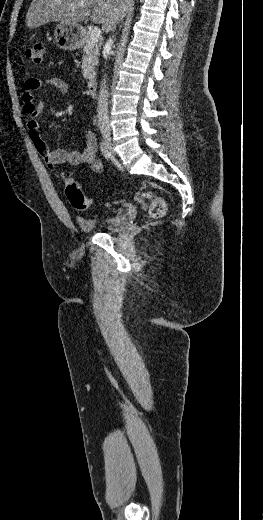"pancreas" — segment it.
Listing matches in <instances>:
<instances>
[{
	"instance_id": "obj_1",
	"label": "pancreas",
	"mask_w": 263,
	"mask_h": 520,
	"mask_svg": "<svg viewBox=\"0 0 263 520\" xmlns=\"http://www.w3.org/2000/svg\"><path fill=\"white\" fill-rule=\"evenodd\" d=\"M80 47L83 49L82 70L84 79L95 78V67L98 64L99 46L91 43L90 37L85 35L81 40Z\"/></svg>"
}]
</instances>
